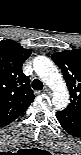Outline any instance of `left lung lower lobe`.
I'll return each mask as SVG.
<instances>
[{
    "mask_svg": "<svg viewBox=\"0 0 81 155\" xmlns=\"http://www.w3.org/2000/svg\"><path fill=\"white\" fill-rule=\"evenodd\" d=\"M57 119L59 120L61 126L72 135L79 134L81 126V118L73 114L68 113L65 110L58 111Z\"/></svg>",
    "mask_w": 81,
    "mask_h": 155,
    "instance_id": "obj_1",
    "label": "left lung lower lobe"
}]
</instances>
